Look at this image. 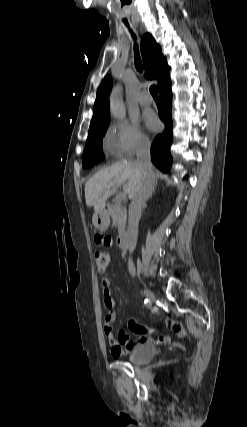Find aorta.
Wrapping results in <instances>:
<instances>
[{
    "mask_svg": "<svg viewBox=\"0 0 247 427\" xmlns=\"http://www.w3.org/2000/svg\"><path fill=\"white\" fill-rule=\"evenodd\" d=\"M111 114L118 120H123L126 117L125 108L122 101V88L116 87L110 97Z\"/></svg>",
    "mask_w": 247,
    "mask_h": 427,
    "instance_id": "1",
    "label": "aorta"
}]
</instances>
